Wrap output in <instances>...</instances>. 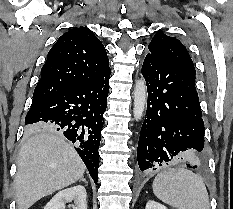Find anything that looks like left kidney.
Listing matches in <instances>:
<instances>
[{
	"label": "left kidney",
	"mask_w": 233,
	"mask_h": 209,
	"mask_svg": "<svg viewBox=\"0 0 233 209\" xmlns=\"http://www.w3.org/2000/svg\"><path fill=\"white\" fill-rule=\"evenodd\" d=\"M145 209H167V208H166V206H164L158 202H155L153 200H149L146 204Z\"/></svg>",
	"instance_id": "5707ae66"
}]
</instances>
